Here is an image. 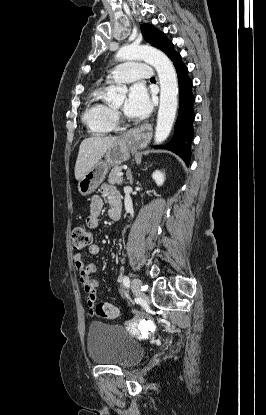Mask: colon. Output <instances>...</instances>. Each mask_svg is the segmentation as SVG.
Returning a JSON list of instances; mask_svg holds the SVG:
<instances>
[{
  "instance_id": "obj_1",
  "label": "colon",
  "mask_w": 266,
  "mask_h": 415,
  "mask_svg": "<svg viewBox=\"0 0 266 415\" xmlns=\"http://www.w3.org/2000/svg\"><path fill=\"white\" fill-rule=\"evenodd\" d=\"M90 233L83 227H77L71 234V247L74 251H80L89 245ZM92 314L105 319H114L118 315L117 308L107 302H101L94 306Z\"/></svg>"
}]
</instances>
